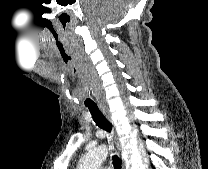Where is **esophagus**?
<instances>
[{
	"label": "esophagus",
	"instance_id": "obj_1",
	"mask_svg": "<svg viewBox=\"0 0 208 169\" xmlns=\"http://www.w3.org/2000/svg\"><path fill=\"white\" fill-rule=\"evenodd\" d=\"M101 111L104 113V115L109 119L111 120V115L110 113L107 111V109L105 107H100ZM115 143H116V147H117V151H118V154H120L121 152V145H120V142H119V138H118V135H115ZM122 169H125V163L123 162L122 163Z\"/></svg>",
	"mask_w": 208,
	"mask_h": 169
}]
</instances>
